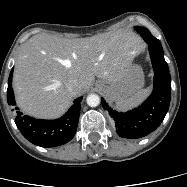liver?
Segmentation results:
<instances>
[{
	"label": "liver",
	"mask_w": 187,
	"mask_h": 187,
	"mask_svg": "<svg viewBox=\"0 0 187 187\" xmlns=\"http://www.w3.org/2000/svg\"><path fill=\"white\" fill-rule=\"evenodd\" d=\"M139 47V38L122 30L80 39L34 35L22 45L15 63L17 104L36 118L59 117L74 96L93 86L95 77L121 80ZM72 80L79 84L76 94L68 90Z\"/></svg>",
	"instance_id": "6515ba94"
}]
</instances>
